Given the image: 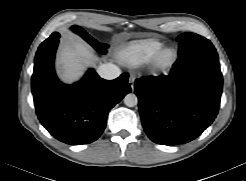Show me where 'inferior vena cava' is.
<instances>
[{
  "label": "inferior vena cava",
  "instance_id": "obj_1",
  "mask_svg": "<svg viewBox=\"0 0 246 181\" xmlns=\"http://www.w3.org/2000/svg\"><path fill=\"white\" fill-rule=\"evenodd\" d=\"M99 76L106 80H112L120 76L121 70L118 66L112 63L102 64L98 67Z\"/></svg>",
  "mask_w": 246,
  "mask_h": 181
}]
</instances>
